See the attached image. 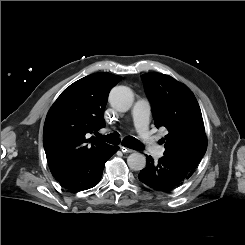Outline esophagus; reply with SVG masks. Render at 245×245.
<instances>
[{"mask_svg": "<svg viewBox=\"0 0 245 245\" xmlns=\"http://www.w3.org/2000/svg\"><path fill=\"white\" fill-rule=\"evenodd\" d=\"M120 150L123 152V153H132L134 152V150L130 149V148H127L125 146H120Z\"/></svg>", "mask_w": 245, "mask_h": 245, "instance_id": "obj_1", "label": "esophagus"}]
</instances>
